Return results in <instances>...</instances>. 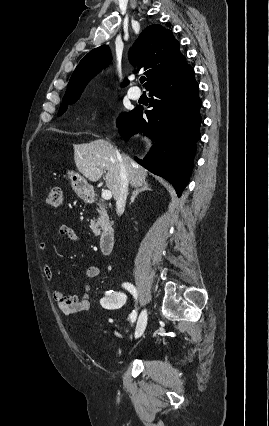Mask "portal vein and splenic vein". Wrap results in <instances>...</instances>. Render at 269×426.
Wrapping results in <instances>:
<instances>
[{"mask_svg": "<svg viewBox=\"0 0 269 426\" xmlns=\"http://www.w3.org/2000/svg\"><path fill=\"white\" fill-rule=\"evenodd\" d=\"M101 196L104 200H110L112 198V192L110 190H103Z\"/></svg>", "mask_w": 269, "mask_h": 426, "instance_id": "portal-vein-and-splenic-vein-1", "label": "portal vein and splenic vein"}]
</instances>
